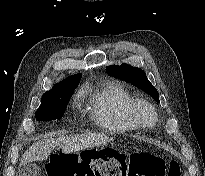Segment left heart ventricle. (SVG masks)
I'll use <instances>...</instances> for the list:
<instances>
[{
  "mask_svg": "<svg viewBox=\"0 0 205 176\" xmlns=\"http://www.w3.org/2000/svg\"><path fill=\"white\" fill-rule=\"evenodd\" d=\"M143 118H144V120L145 121H147V122H150V121H152V116L151 115H149V114H144L143 115Z\"/></svg>",
  "mask_w": 205,
  "mask_h": 176,
  "instance_id": "obj_1",
  "label": "left heart ventricle"
}]
</instances>
